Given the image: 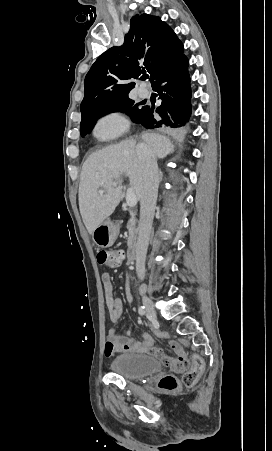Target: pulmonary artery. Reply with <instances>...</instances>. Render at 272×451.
<instances>
[{"label":"pulmonary artery","mask_w":272,"mask_h":451,"mask_svg":"<svg viewBox=\"0 0 272 451\" xmlns=\"http://www.w3.org/2000/svg\"><path fill=\"white\" fill-rule=\"evenodd\" d=\"M137 94H138V96L140 97V98H147V97H149V91H147V90H145V89H139L138 90V92H137Z\"/></svg>","instance_id":"1"}]
</instances>
